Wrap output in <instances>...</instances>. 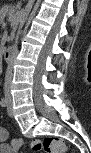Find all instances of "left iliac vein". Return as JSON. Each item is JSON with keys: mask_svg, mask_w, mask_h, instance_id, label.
I'll use <instances>...</instances> for the list:
<instances>
[{"mask_svg": "<svg viewBox=\"0 0 91 153\" xmlns=\"http://www.w3.org/2000/svg\"><path fill=\"white\" fill-rule=\"evenodd\" d=\"M7 102H8V104H7V112L11 116L12 113H13V109H12V99H11L10 96H8Z\"/></svg>", "mask_w": 91, "mask_h": 153, "instance_id": "1", "label": "left iliac vein"}]
</instances>
